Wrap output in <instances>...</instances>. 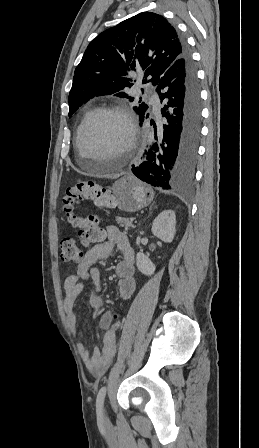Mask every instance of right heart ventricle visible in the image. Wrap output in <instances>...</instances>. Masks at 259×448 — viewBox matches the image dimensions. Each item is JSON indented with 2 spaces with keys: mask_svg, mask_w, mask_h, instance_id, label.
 <instances>
[{
  "mask_svg": "<svg viewBox=\"0 0 259 448\" xmlns=\"http://www.w3.org/2000/svg\"><path fill=\"white\" fill-rule=\"evenodd\" d=\"M97 110V108H96V106H91V107H89L86 111H85V113L83 114V116H82V118H81V120H80V122H79V124H78V126H77V128H76V131H75V135H74V148H77V150H78V143H77V139H78V133H79V131H80V128H81V126H82V124H83V122L93 113V112H95ZM126 183V182H125Z\"/></svg>",
  "mask_w": 259,
  "mask_h": 448,
  "instance_id": "obj_1",
  "label": "right heart ventricle"
}]
</instances>
